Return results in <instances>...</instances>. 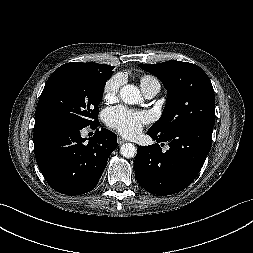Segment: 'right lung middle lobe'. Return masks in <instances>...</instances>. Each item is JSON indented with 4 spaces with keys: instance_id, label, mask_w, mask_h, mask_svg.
Returning <instances> with one entry per match:
<instances>
[{
    "instance_id": "obj_1",
    "label": "right lung middle lobe",
    "mask_w": 253,
    "mask_h": 253,
    "mask_svg": "<svg viewBox=\"0 0 253 253\" xmlns=\"http://www.w3.org/2000/svg\"><path fill=\"white\" fill-rule=\"evenodd\" d=\"M111 71L78 63L60 66L47 80L39 98L34 127L63 123L84 128L95 124Z\"/></svg>"
}]
</instances>
